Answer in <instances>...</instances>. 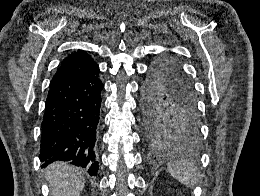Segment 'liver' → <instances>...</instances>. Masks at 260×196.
Returning a JSON list of instances; mask_svg holds the SVG:
<instances>
[{"label":"liver","mask_w":260,"mask_h":196,"mask_svg":"<svg viewBox=\"0 0 260 196\" xmlns=\"http://www.w3.org/2000/svg\"><path fill=\"white\" fill-rule=\"evenodd\" d=\"M45 178L51 186L52 196H80L85 186L79 168L65 162L50 164L45 170Z\"/></svg>","instance_id":"liver-1"}]
</instances>
